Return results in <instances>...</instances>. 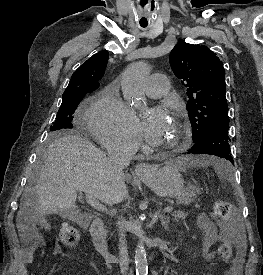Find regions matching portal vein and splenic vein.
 Returning <instances> with one entry per match:
<instances>
[{
	"instance_id": "1",
	"label": "portal vein and splenic vein",
	"mask_w": 263,
	"mask_h": 275,
	"mask_svg": "<svg viewBox=\"0 0 263 275\" xmlns=\"http://www.w3.org/2000/svg\"><path fill=\"white\" fill-rule=\"evenodd\" d=\"M86 200H87L88 204L91 207H93L94 209H96L97 211H100V212H107L108 211L106 206L101 204L93 195L86 194ZM173 210H174V208L172 206H167L163 209L164 212H172Z\"/></svg>"
}]
</instances>
